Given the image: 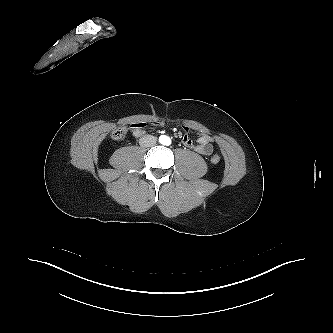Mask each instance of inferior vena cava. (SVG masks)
<instances>
[{
  "instance_id": "602c4592",
  "label": "inferior vena cava",
  "mask_w": 333,
  "mask_h": 333,
  "mask_svg": "<svg viewBox=\"0 0 333 333\" xmlns=\"http://www.w3.org/2000/svg\"><path fill=\"white\" fill-rule=\"evenodd\" d=\"M156 141H157L156 137L152 135H145L139 139V144L142 147H151L156 144Z\"/></svg>"
}]
</instances>
